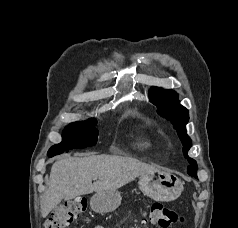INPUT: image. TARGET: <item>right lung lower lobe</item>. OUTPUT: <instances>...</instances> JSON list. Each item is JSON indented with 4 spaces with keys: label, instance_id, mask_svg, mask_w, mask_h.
<instances>
[{
    "label": "right lung lower lobe",
    "instance_id": "right-lung-lower-lobe-1",
    "mask_svg": "<svg viewBox=\"0 0 238 228\" xmlns=\"http://www.w3.org/2000/svg\"><path fill=\"white\" fill-rule=\"evenodd\" d=\"M49 157H52L53 155H48Z\"/></svg>",
    "mask_w": 238,
    "mask_h": 228
}]
</instances>
